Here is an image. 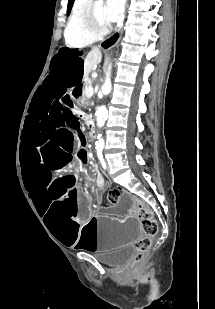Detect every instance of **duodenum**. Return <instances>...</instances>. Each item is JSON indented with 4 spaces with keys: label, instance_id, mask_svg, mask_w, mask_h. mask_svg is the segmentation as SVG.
I'll return each instance as SVG.
<instances>
[{
    "label": "duodenum",
    "instance_id": "obj_1",
    "mask_svg": "<svg viewBox=\"0 0 215 309\" xmlns=\"http://www.w3.org/2000/svg\"><path fill=\"white\" fill-rule=\"evenodd\" d=\"M87 120H88V126H89L90 131H91L93 134H95V133H96V129H97L95 119L88 116V117H87Z\"/></svg>",
    "mask_w": 215,
    "mask_h": 309
}]
</instances>
